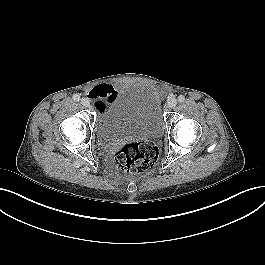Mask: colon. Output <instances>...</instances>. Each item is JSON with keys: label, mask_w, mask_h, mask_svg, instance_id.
Here are the masks:
<instances>
[{"label": "colon", "mask_w": 265, "mask_h": 265, "mask_svg": "<svg viewBox=\"0 0 265 265\" xmlns=\"http://www.w3.org/2000/svg\"><path fill=\"white\" fill-rule=\"evenodd\" d=\"M159 150L147 141L121 145L115 152V163L123 172L142 174L151 171L157 163Z\"/></svg>", "instance_id": "colon-1"}]
</instances>
